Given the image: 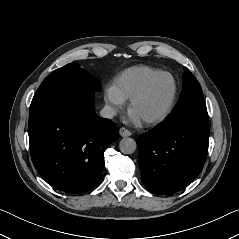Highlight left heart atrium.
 I'll use <instances>...</instances> for the list:
<instances>
[{"instance_id": "left-heart-atrium-1", "label": "left heart atrium", "mask_w": 239, "mask_h": 239, "mask_svg": "<svg viewBox=\"0 0 239 239\" xmlns=\"http://www.w3.org/2000/svg\"><path fill=\"white\" fill-rule=\"evenodd\" d=\"M126 120L129 123L139 124L142 119L137 114H135L133 111H131V109H130V111L128 112Z\"/></svg>"}]
</instances>
